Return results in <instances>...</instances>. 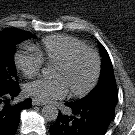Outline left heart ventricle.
<instances>
[{
    "mask_svg": "<svg viewBox=\"0 0 135 135\" xmlns=\"http://www.w3.org/2000/svg\"><path fill=\"white\" fill-rule=\"evenodd\" d=\"M94 62L90 55H81L66 69L54 66L52 77L62 79L67 88L73 91L82 90L90 81Z\"/></svg>",
    "mask_w": 135,
    "mask_h": 135,
    "instance_id": "b2bd125f",
    "label": "left heart ventricle"
}]
</instances>
